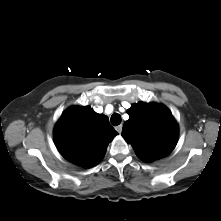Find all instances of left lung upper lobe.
I'll return each mask as SVG.
<instances>
[{
  "mask_svg": "<svg viewBox=\"0 0 221 221\" xmlns=\"http://www.w3.org/2000/svg\"><path fill=\"white\" fill-rule=\"evenodd\" d=\"M127 112L129 120L123 125L122 136L141 160L152 162L171 153L177 143L178 126L167 107L139 102Z\"/></svg>",
  "mask_w": 221,
  "mask_h": 221,
  "instance_id": "obj_1",
  "label": "left lung upper lobe"
}]
</instances>
